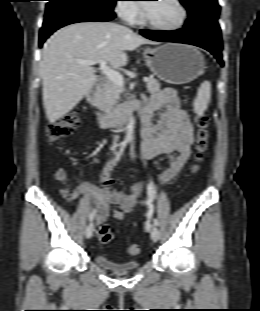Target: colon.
<instances>
[{"label":"colon","instance_id":"5ec220e1","mask_svg":"<svg viewBox=\"0 0 260 311\" xmlns=\"http://www.w3.org/2000/svg\"><path fill=\"white\" fill-rule=\"evenodd\" d=\"M80 123L81 119L78 111H73L62 119L49 123L46 127V139L48 143L53 144L67 137ZM195 124L197 127L194 156L196 163L192 166L193 172L199 170L200 163L203 162L206 156L210 137L209 117L204 113H198L195 115ZM98 233L101 241L105 244L113 240V233L107 224L102 225ZM127 252L130 255H137L140 252V247L138 244H131L128 246Z\"/></svg>","mask_w":260,"mask_h":311}]
</instances>
